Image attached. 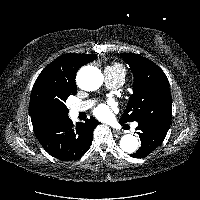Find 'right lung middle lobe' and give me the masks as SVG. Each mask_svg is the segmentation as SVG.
I'll return each instance as SVG.
<instances>
[{
	"mask_svg": "<svg viewBox=\"0 0 200 200\" xmlns=\"http://www.w3.org/2000/svg\"><path fill=\"white\" fill-rule=\"evenodd\" d=\"M77 90L71 91L61 100H50L44 105V113L48 117L66 116L68 115V108L65 105L67 98L70 95H75Z\"/></svg>",
	"mask_w": 200,
	"mask_h": 200,
	"instance_id": "1",
	"label": "right lung middle lobe"
}]
</instances>
